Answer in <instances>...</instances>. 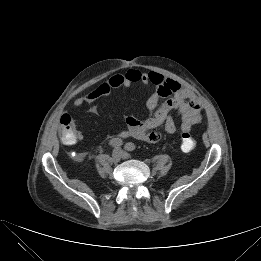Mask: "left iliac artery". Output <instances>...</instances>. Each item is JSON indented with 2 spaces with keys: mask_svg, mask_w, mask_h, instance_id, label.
<instances>
[{
  "mask_svg": "<svg viewBox=\"0 0 261 261\" xmlns=\"http://www.w3.org/2000/svg\"><path fill=\"white\" fill-rule=\"evenodd\" d=\"M124 148H125L127 151H133V150H135V145H134L133 143L129 142V143H126V144H125Z\"/></svg>",
  "mask_w": 261,
  "mask_h": 261,
  "instance_id": "obj_1",
  "label": "left iliac artery"
}]
</instances>
